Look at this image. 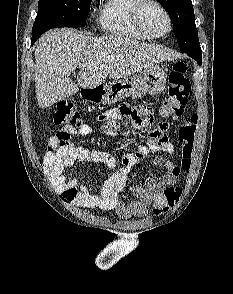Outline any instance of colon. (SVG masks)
<instances>
[{"mask_svg":"<svg viewBox=\"0 0 233 294\" xmlns=\"http://www.w3.org/2000/svg\"><path fill=\"white\" fill-rule=\"evenodd\" d=\"M191 91V83L187 76V66L178 61L173 65L169 74V82L166 95L160 108L163 117L179 118L183 115ZM135 108V107H134ZM52 121L56 125L78 128L83 123L79 113L69 102H61L57 105ZM198 117L193 114L179 129L178 138L181 144L180 167L188 171L191 166L193 145L197 128ZM60 145L70 141L68 133H59ZM182 191L177 187H169L158 193L153 200V212L157 215L168 211L180 199Z\"/></svg>","mask_w":233,"mask_h":294,"instance_id":"1","label":"colon"}]
</instances>
